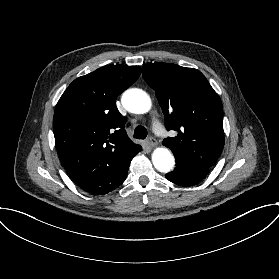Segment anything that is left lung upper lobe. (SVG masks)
<instances>
[{"label": "left lung upper lobe", "instance_id": "1", "mask_svg": "<svg viewBox=\"0 0 279 279\" xmlns=\"http://www.w3.org/2000/svg\"><path fill=\"white\" fill-rule=\"evenodd\" d=\"M143 78L155 90L168 130L164 139L176 161L211 169L224 147L223 107L218 94L197 69L172 63L146 64Z\"/></svg>", "mask_w": 279, "mask_h": 279}]
</instances>
